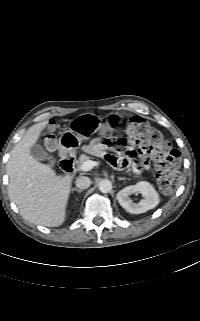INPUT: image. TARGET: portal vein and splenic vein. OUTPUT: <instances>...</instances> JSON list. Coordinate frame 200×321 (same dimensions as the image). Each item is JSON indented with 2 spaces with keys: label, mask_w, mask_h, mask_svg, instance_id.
Returning a JSON list of instances; mask_svg holds the SVG:
<instances>
[{
  "label": "portal vein and splenic vein",
  "mask_w": 200,
  "mask_h": 321,
  "mask_svg": "<svg viewBox=\"0 0 200 321\" xmlns=\"http://www.w3.org/2000/svg\"><path fill=\"white\" fill-rule=\"evenodd\" d=\"M98 164H99V162H97V161L88 160V161H85L84 163H82V165L80 166V170L81 171H90L91 169H93L94 166H97Z\"/></svg>",
  "instance_id": "obj_1"
}]
</instances>
